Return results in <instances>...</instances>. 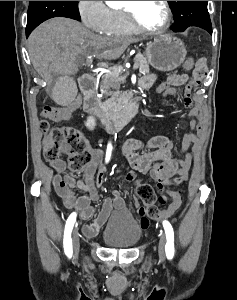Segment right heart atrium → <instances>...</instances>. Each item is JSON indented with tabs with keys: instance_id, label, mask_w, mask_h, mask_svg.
I'll return each mask as SVG.
<instances>
[{
	"instance_id": "obj_1",
	"label": "right heart atrium",
	"mask_w": 237,
	"mask_h": 300,
	"mask_svg": "<svg viewBox=\"0 0 237 300\" xmlns=\"http://www.w3.org/2000/svg\"><path fill=\"white\" fill-rule=\"evenodd\" d=\"M78 11L90 30L99 34L112 33V9L104 1H78Z\"/></svg>"
}]
</instances>
